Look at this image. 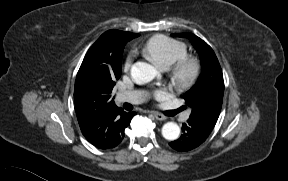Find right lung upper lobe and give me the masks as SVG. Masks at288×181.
<instances>
[{
  "instance_id": "1",
  "label": "right lung upper lobe",
  "mask_w": 288,
  "mask_h": 181,
  "mask_svg": "<svg viewBox=\"0 0 288 181\" xmlns=\"http://www.w3.org/2000/svg\"><path fill=\"white\" fill-rule=\"evenodd\" d=\"M138 34L109 30L90 47L77 73L74 99L83 135L94 146L107 149L117 141V122L123 112L111 92L121 75L116 55Z\"/></svg>"
}]
</instances>
